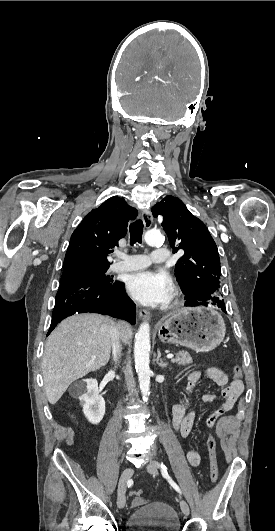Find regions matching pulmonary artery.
I'll return each mask as SVG.
<instances>
[{"instance_id":"pulmonary-artery-1","label":"pulmonary artery","mask_w":275,"mask_h":531,"mask_svg":"<svg viewBox=\"0 0 275 531\" xmlns=\"http://www.w3.org/2000/svg\"><path fill=\"white\" fill-rule=\"evenodd\" d=\"M116 256L121 260L111 266L112 272L132 271L144 266L149 268L148 261L144 255H129L123 249H119L116 251ZM150 256L152 265H165L168 253L164 249H154L151 251Z\"/></svg>"}]
</instances>
